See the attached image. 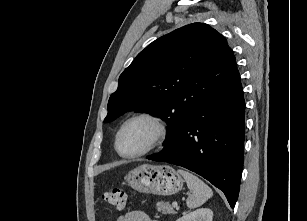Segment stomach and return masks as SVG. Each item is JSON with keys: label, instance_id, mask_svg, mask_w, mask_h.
Masks as SVG:
<instances>
[{"label": "stomach", "instance_id": "1", "mask_svg": "<svg viewBox=\"0 0 307 221\" xmlns=\"http://www.w3.org/2000/svg\"><path fill=\"white\" fill-rule=\"evenodd\" d=\"M126 180L133 189L156 195H172L179 192L184 180L176 171L167 165L143 164L131 170Z\"/></svg>", "mask_w": 307, "mask_h": 221}]
</instances>
